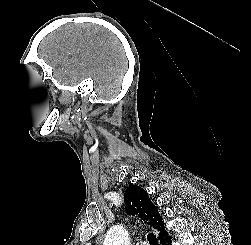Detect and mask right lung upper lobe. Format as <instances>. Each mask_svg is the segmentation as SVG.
I'll return each mask as SVG.
<instances>
[{"label":"right lung upper lobe","mask_w":251,"mask_h":245,"mask_svg":"<svg viewBox=\"0 0 251 245\" xmlns=\"http://www.w3.org/2000/svg\"><path fill=\"white\" fill-rule=\"evenodd\" d=\"M124 199L128 215H138L148 225L158 229L159 238L167 235L162 217L145 190L137 185H131L125 191Z\"/></svg>","instance_id":"1"}]
</instances>
